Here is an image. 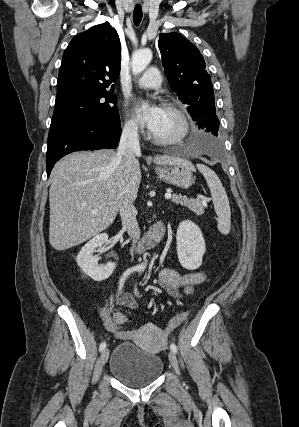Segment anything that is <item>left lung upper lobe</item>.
I'll list each match as a JSON object with an SVG mask.
<instances>
[{
    "mask_svg": "<svg viewBox=\"0 0 299 427\" xmlns=\"http://www.w3.org/2000/svg\"><path fill=\"white\" fill-rule=\"evenodd\" d=\"M159 49L172 90L189 105L187 110L194 120H201V113L205 114L209 132L218 136L213 85L198 48L180 34L162 33L159 34Z\"/></svg>",
    "mask_w": 299,
    "mask_h": 427,
    "instance_id": "5c2ea615",
    "label": "left lung upper lobe"
}]
</instances>
